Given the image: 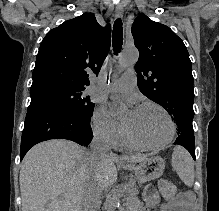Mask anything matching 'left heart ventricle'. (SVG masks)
Instances as JSON below:
<instances>
[{
  "label": "left heart ventricle",
  "mask_w": 219,
  "mask_h": 211,
  "mask_svg": "<svg viewBox=\"0 0 219 211\" xmlns=\"http://www.w3.org/2000/svg\"><path fill=\"white\" fill-rule=\"evenodd\" d=\"M124 124L140 142L158 144L169 135L170 126L165 114L154 106L136 108L124 115Z\"/></svg>",
  "instance_id": "obj_1"
}]
</instances>
